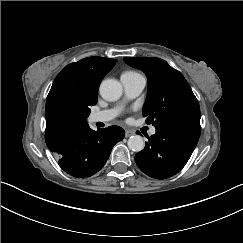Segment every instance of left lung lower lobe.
<instances>
[{
	"mask_svg": "<svg viewBox=\"0 0 243 243\" xmlns=\"http://www.w3.org/2000/svg\"><path fill=\"white\" fill-rule=\"evenodd\" d=\"M201 127L173 123L156 128L145 148L135 155L137 166L146 175L165 179L177 174L187 163L200 137Z\"/></svg>",
	"mask_w": 243,
	"mask_h": 243,
	"instance_id": "left-lung-lower-lobe-1",
	"label": "left lung lower lobe"
}]
</instances>
